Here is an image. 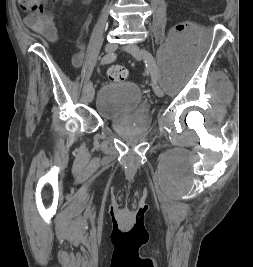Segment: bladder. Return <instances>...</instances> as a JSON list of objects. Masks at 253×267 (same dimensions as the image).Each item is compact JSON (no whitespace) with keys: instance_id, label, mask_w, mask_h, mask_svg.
Returning a JSON list of instances; mask_svg holds the SVG:
<instances>
[{"instance_id":"obj_1","label":"bladder","mask_w":253,"mask_h":267,"mask_svg":"<svg viewBox=\"0 0 253 267\" xmlns=\"http://www.w3.org/2000/svg\"><path fill=\"white\" fill-rule=\"evenodd\" d=\"M142 97L140 88L133 82H109L99 90L96 106L102 113L114 114L139 105Z\"/></svg>"}]
</instances>
